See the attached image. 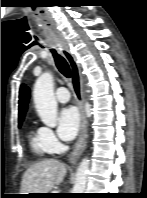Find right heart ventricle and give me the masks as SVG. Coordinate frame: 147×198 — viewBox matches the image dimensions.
<instances>
[{
    "instance_id": "e07e8e85",
    "label": "right heart ventricle",
    "mask_w": 147,
    "mask_h": 198,
    "mask_svg": "<svg viewBox=\"0 0 147 198\" xmlns=\"http://www.w3.org/2000/svg\"><path fill=\"white\" fill-rule=\"evenodd\" d=\"M29 143L32 151L39 157H44L50 153L42 140L40 128H32L29 131Z\"/></svg>"
}]
</instances>
